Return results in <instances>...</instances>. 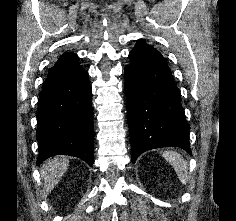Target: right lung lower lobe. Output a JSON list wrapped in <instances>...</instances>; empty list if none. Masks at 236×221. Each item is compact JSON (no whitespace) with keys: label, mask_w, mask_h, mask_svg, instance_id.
<instances>
[{"label":"right lung lower lobe","mask_w":236,"mask_h":221,"mask_svg":"<svg viewBox=\"0 0 236 221\" xmlns=\"http://www.w3.org/2000/svg\"><path fill=\"white\" fill-rule=\"evenodd\" d=\"M37 164L55 155H71L93 164L91 86L77 55L49 69L37 108Z\"/></svg>","instance_id":"right-lung-lower-lobe-1"}]
</instances>
